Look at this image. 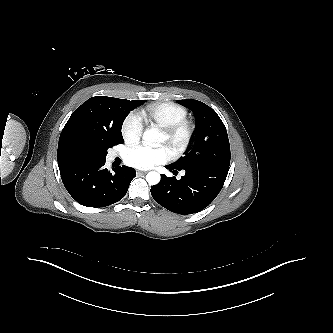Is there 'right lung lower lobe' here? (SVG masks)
Here are the masks:
<instances>
[{
  "label": "right lung lower lobe",
  "instance_id": "obj_1",
  "mask_svg": "<svg viewBox=\"0 0 333 333\" xmlns=\"http://www.w3.org/2000/svg\"><path fill=\"white\" fill-rule=\"evenodd\" d=\"M104 165V158L79 153L59 166L64 186L78 203L105 207L125 196L136 171L122 166L110 172Z\"/></svg>",
  "mask_w": 333,
  "mask_h": 333
}]
</instances>
